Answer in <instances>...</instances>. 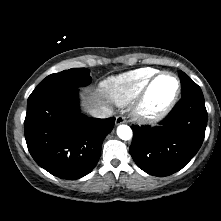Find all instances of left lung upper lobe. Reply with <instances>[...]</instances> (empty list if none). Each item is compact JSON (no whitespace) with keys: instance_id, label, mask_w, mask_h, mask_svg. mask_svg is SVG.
<instances>
[{"instance_id":"1","label":"left lung upper lobe","mask_w":221,"mask_h":221,"mask_svg":"<svg viewBox=\"0 0 221 221\" xmlns=\"http://www.w3.org/2000/svg\"><path fill=\"white\" fill-rule=\"evenodd\" d=\"M178 74L182 86L181 97H186L191 95L203 96L200 87L195 82H193L184 72L178 71Z\"/></svg>"}]
</instances>
